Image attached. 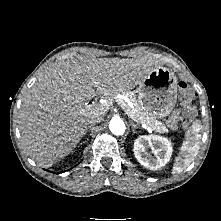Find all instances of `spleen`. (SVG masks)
<instances>
[{"instance_id":"3e777b00","label":"spleen","mask_w":221,"mask_h":221,"mask_svg":"<svg viewBox=\"0 0 221 221\" xmlns=\"http://www.w3.org/2000/svg\"><path fill=\"white\" fill-rule=\"evenodd\" d=\"M200 124L198 122L192 125L190 133L183 142L180 154L176 157L173 165L172 174L184 171L197 156L200 143Z\"/></svg>"}]
</instances>
